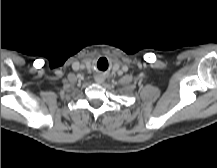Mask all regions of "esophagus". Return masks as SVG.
I'll list each match as a JSON object with an SVG mask.
<instances>
[{
	"label": "esophagus",
	"instance_id": "1",
	"mask_svg": "<svg viewBox=\"0 0 217 168\" xmlns=\"http://www.w3.org/2000/svg\"><path fill=\"white\" fill-rule=\"evenodd\" d=\"M103 81H104V77H103L102 75H97V76L95 77V82H96V83L100 84V83H102Z\"/></svg>",
	"mask_w": 217,
	"mask_h": 168
}]
</instances>
